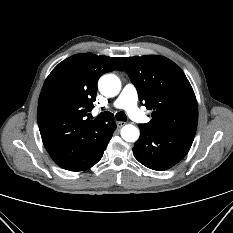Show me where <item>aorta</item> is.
<instances>
[{"label":"aorta","instance_id":"1","mask_svg":"<svg viewBox=\"0 0 233 233\" xmlns=\"http://www.w3.org/2000/svg\"><path fill=\"white\" fill-rule=\"evenodd\" d=\"M98 87L106 97H114L120 92L121 82L116 75L107 74L100 78ZM121 137L127 142H135L139 138V130L134 125H125L121 129Z\"/></svg>","mask_w":233,"mask_h":233}]
</instances>
